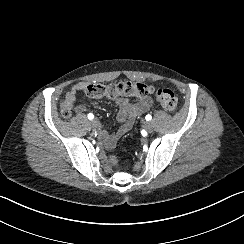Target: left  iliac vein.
<instances>
[{"label":"left iliac vein","instance_id":"obj_1","mask_svg":"<svg viewBox=\"0 0 244 244\" xmlns=\"http://www.w3.org/2000/svg\"><path fill=\"white\" fill-rule=\"evenodd\" d=\"M143 128L146 130L147 133L151 134L154 130L153 124L151 122H144Z\"/></svg>","mask_w":244,"mask_h":244}]
</instances>
